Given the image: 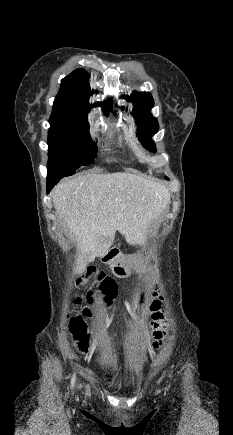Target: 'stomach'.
Masks as SVG:
<instances>
[{
  "instance_id": "0dacf381",
  "label": "stomach",
  "mask_w": 233,
  "mask_h": 435,
  "mask_svg": "<svg viewBox=\"0 0 233 435\" xmlns=\"http://www.w3.org/2000/svg\"><path fill=\"white\" fill-rule=\"evenodd\" d=\"M141 258L140 254L129 256H121L112 263V272L119 278L129 277L137 268V264Z\"/></svg>"
}]
</instances>
